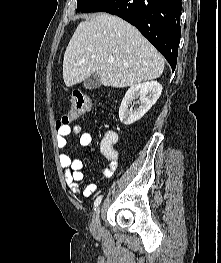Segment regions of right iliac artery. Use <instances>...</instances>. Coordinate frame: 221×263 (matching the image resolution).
<instances>
[{
    "instance_id": "1",
    "label": "right iliac artery",
    "mask_w": 221,
    "mask_h": 263,
    "mask_svg": "<svg viewBox=\"0 0 221 263\" xmlns=\"http://www.w3.org/2000/svg\"><path fill=\"white\" fill-rule=\"evenodd\" d=\"M101 200H102V196H99V197L96 198V200L94 202V210H96L98 205L101 203Z\"/></svg>"
}]
</instances>
